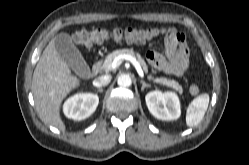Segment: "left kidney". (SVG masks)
<instances>
[{
    "label": "left kidney",
    "mask_w": 249,
    "mask_h": 165,
    "mask_svg": "<svg viewBox=\"0 0 249 165\" xmlns=\"http://www.w3.org/2000/svg\"><path fill=\"white\" fill-rule=\"evenodd\" d=\"M150 113L160 120H176L181 115L180 101L174 92L155 90L145 96Z\"/></svg>",
    "instance_id": "5707ae66"
}]
</instances>
